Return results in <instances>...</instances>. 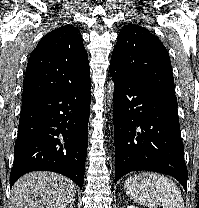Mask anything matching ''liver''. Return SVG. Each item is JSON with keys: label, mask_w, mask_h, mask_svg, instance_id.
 Segmentation results:
<instances>
[{"label": "liver", "mask_w": 199, "mask_h": 208, "mask_svg": "<svg viewBox=\"0 0 199 208\" xmlns=\"http://www.w3.org/2000/svg\"><path fill=\"white\" fill-rule=\"evenodd\" d=\"M76 185L67 177L47 171L27 173L11 190L10 208H66L74 201Z\"/></svg>", "instance_id": "liver-1"}]
</instances>
